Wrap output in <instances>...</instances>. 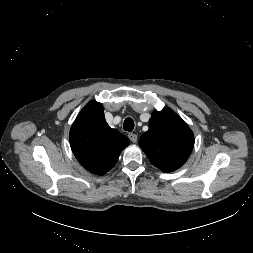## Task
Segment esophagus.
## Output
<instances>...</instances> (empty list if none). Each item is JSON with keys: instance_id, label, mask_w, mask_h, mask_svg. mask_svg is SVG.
Returning a JSON list of instances; mask_svg holds the SVG:
<instances>
[{"instance_id": "34e87169", "label": "esophagus", "mask_w": 253, "mask_h": 253, "mask_svg": "<svg viewBox=\"0 0 253 253\" xmlns=\"http://www.w3.org/2000/svg\"><path fill=\"white\" fill-rule=\"evenodd\" d=\"M128 137H129L130 141L133 142V143H136L137 140H138V136L134 133H129Z\"/></svg>"}]
</instances>
